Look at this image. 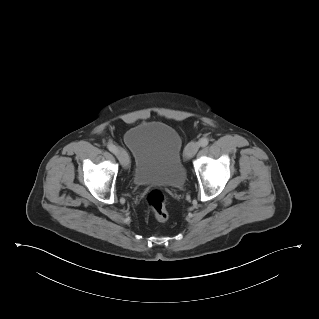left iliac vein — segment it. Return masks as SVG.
<instances>
[{
  "label": "left iliac vein",
  "mask_w": 319,
  "mask_h": 319,
  "mask_svg": "<svg viewBox=\"0 0 319 319\" xmlns=\"http://www.w3.org/2000/svg\"><path fill=\"white\" fill-rule=\"evenodd\" d=\"M200 145L198 142H190L187 146H186V149H185V158L186 159H190L192 158L198 151Z\"/></svg>",
  "instance_id": "1"
}]
</instances>
